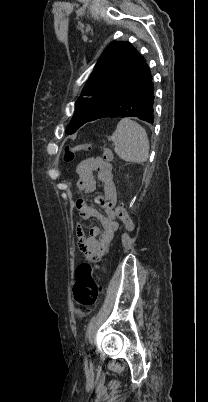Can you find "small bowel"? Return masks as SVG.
I'll list each match as a JSON object with an SVG mask.
<instances>
[{"label": "small bowel", "instance_id": "obj_1", "mask_svg": "<svg viewBox=\"0 0 208 402\" xmlns=\"http://www.w3.org/2000/svg\"><path fill=\"white\" fill-rule=\"evenodd\" d=\"M76 173L79 177L77 189L81 194L93 192L96 189L97 181L103 184V195L99 200L100 206L104 211L103 214L90 206L84 197H80L76 201V208L83 218L97 217L101 222V229L97 227L90 228L89 238L86 237L80 224L75 226L80 251L90 260H96L106 253L119 228L114 211L116 189L113 180V166L111 161H106L101 157H90L77 165Z\"/></svg>", "mask_w": 208, "mask_h": 402}]
</instances>
